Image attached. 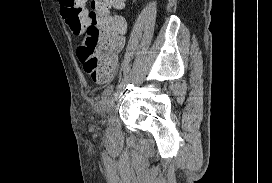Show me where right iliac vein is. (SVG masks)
<instances>
[{"label": "right iliac vein", "mask_w": 272, "mask_h": 183, "mask_svg": "<svg viewBox=\"0 0 272 183\" xmlns=\"http://www.w3.org/2000/svg\"><path fill=\"white\" fill-rule=\"evenodd\" d=\"M110 95H108L106 97H103L101 102H100V112H101V114H104L107 111V109L110 107L111 103H112V96H110Z\"/></svg>", "instance_id": "1"}]
</instances>
